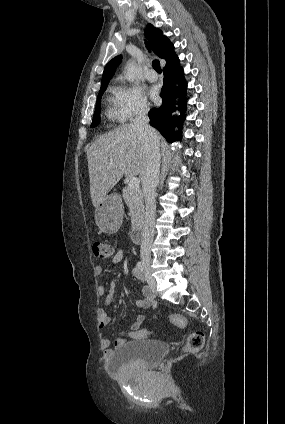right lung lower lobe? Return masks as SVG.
<instances>
[{
    "instance_id": "1",
    "label": "right lung lower lobe",
    "mask_w": 285,
    "mask_h": 424,
    "mask_svg": "<svg viewBox=\"0 0 285 424\" xmlns=\"http://www.w3.org/2000/svg\"><path fill=\"white\" fill-rule=\"evenodd\" d=\"M163 73L164 83L160 93L162 105L159 108L152 109L148 116L150 118V125L159 130L168 142H173L178 138L180 139V132H175L174 127H181L182 120L184 119L187 82L183 76V69L179 65V59L165 66ZM175 84H178V87ZM176 97L180 98V117L172 116V112L176 109L174 102V98Z\"/></svg>"
}]
</instances>
